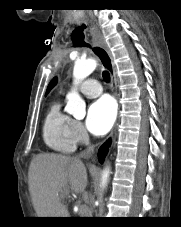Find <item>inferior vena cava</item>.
<instances>
[{"label":"inferior vena cava","mask_w":181,"mask_h":227,"mask_svg":"<svg viewBox=\"0 0 181 227\" xmlns=\"http://www.w3.org/2000/svg\"><path fill=\"white\" fill-rule=\"evenodd\" d=\"M93 146H89L86 150L82 151L80 157L89 158L93 153Z\"/></svg>","instance_id":"obj_1"}]
</instances>
